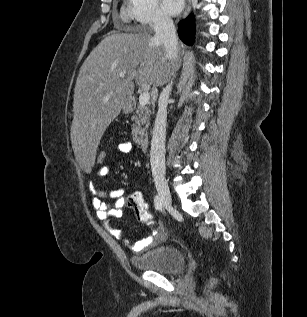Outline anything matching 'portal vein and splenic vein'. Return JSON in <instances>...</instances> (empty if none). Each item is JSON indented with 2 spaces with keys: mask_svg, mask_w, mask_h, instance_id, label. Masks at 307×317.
I'll use <instances>...</instances> for the list:
<instances>
[{
  "mask_svg": "<svg viewBox=\"0 0 307 317\" xmlns=\"http://www.w3.org/2000/svg\"><path fill=\"white\" fill-rule=\"evenodd\" d=\"M125 76L124 73H120V77L123 78ZM150 100V94L147 90L143 91L139 96V104L141 106H145Z\"/></svg>",
  "mask_w": 307,
  "mask_h": 317,
  "instance_id": "18ae733b",
  "label": "portal vein and splenic vein"
}]
</instances>
